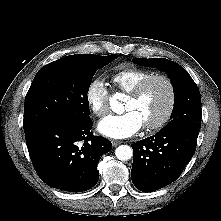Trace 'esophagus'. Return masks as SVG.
Here are the masks:
<instances>
[{
    "label": "esophagus",
    "mask_w": 221,
    "mask_h": 221,
    "mask_svg": "<svg viewBox=\"0 0 221 221\" xmlns=\"http://www.w3.org/2000/svg\"><path fill=\"white\" fill-rule=\"evenodd\" d=\"M121 143H122V141H120V140H112V145H113L114 147L118 146V145L121 144Z\"/></svg>",
    "instance_id": "34e87169"
}]
</instances>
